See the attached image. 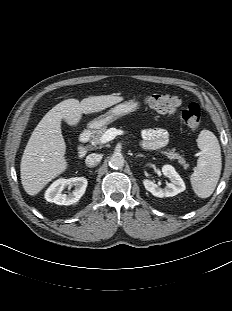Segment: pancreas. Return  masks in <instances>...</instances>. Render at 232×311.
Segmentation results:
<instances>
[{"label":"pancreas","instance_id":"1","mask_svg":"<svg viewBox=\"0 0 232 311\" xmlns=\"http://www.w3.org/2000/svg\"><path fill=\"white\" fill-rule=\"evenodd\" d=\"M107 127L104 126L103 128H101L100 130H98L94 135H92L91 137V144L93 146H97L100 142V138L102 137V135L107 131ZM162 153L167 156V158H169L170 160H178V162L183 165V166H186V161L185 159L183 158L182 155H180L178 152H175L174 149L172 150H167V151H162Z\"/></svg>","mask_w":232,"mask_h":311}]
</instances>
